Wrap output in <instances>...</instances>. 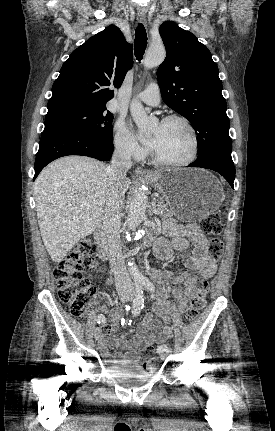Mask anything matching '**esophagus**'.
<instances>
[{"label":"esophagus","mask_w":275,"mask_h":431,"mask_svg":"<svg viewBox=\"0 0 275 431\" xmlns=\"http://www.w3.org/2000/svg\"><path fill=\"white\" fill-rule=\"evenodd\" d=\"M137 14H138L139 19L142 22L146 23V18H147V12H146V10L144 8H138L137 9ZM135 174L136 175H141V176H152L153 175L152 172L147 171V170H145V169H143L142 167H139V166L136 167Z\"/></svg>","instance_id":"34e87169"}]
</instances>
